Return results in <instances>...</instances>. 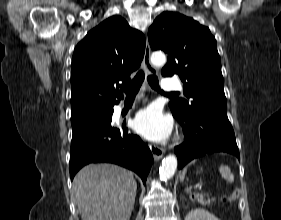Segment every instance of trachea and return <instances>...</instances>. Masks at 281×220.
Instances as JSON below:
<instances>
[{"instance_id": "trachea-1", "label": "trachea", "mask_w": 281, "mask_h": 220, "mask_svg": "<svg viewBox=\"0 0 281 220\" xmlns=\"http://www.w3.org/2000/svg\"><path fill=\"white\" fill-rule=\"evenodd\" d=\"M144 77H145V75H144V72L142 70L137 73L135 78L123 89L126 96H128V97L135 96L138 93V91H139V89L142 85V82L144 80ZM147 80H148L150 86L153 89L164 93L163 91H161L160 86H159V82H158V78L155 75H149L147 77ZM165 94H167V95H177V93H165Z\"/></svg>"}]
</instances>
